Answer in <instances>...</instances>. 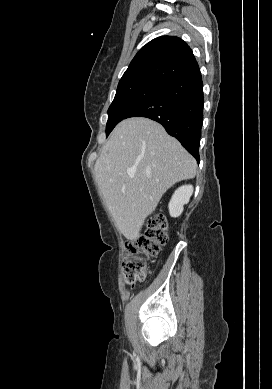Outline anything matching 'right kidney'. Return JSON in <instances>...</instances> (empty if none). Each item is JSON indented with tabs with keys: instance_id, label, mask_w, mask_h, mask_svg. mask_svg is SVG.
<instances>
[{
	"instance_id": "ca27d5eb",
	"label": "right kidney",
	"mask_w": 272,
	"mask_h": 389,
	"mask_svg": "<svg viewBox=\"0 0 272 389\" xmlns=\"http://www.w3.org/2000/svg\"><path fill=\"white\" fill-rule=\"evenodd\" d=\"M193 194V186L192 185H183L179 187L173 194L168 208L171 217H179L184 209V205H186L191 195Z\"/></svg>"
}]
</instances>
